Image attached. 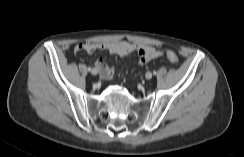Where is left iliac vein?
Returning <instances> with one entry per match:
<instances>
[{
  "instance_id": "1",
  "label": "left iliac vein",
  "mask_w": 244,
  "mask_h": 157,
  "mask_svg": "<svg viewBox=\"0 0 244 157\" xmlns=\"http://www.w3.org/2000/svg\"><path fill=\"white\" fill-rule=\"evenodd\" d=\"M146 79L149 80L152 78V73L151 72H147L145 75Z\"/></svg>"
}]
</instances>
